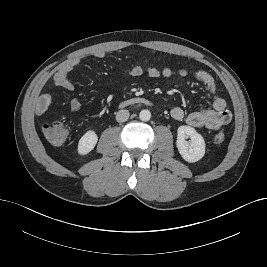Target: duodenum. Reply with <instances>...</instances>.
Returning <instances> with one entry per match:
<instances>
[{"label":"duodenum","mask_w":267,"mask_h":267,"mask_svg":"<svg viewBox=\"0 0 267 267\" xmlns=\"http://www.w3.org/2000/svg\"><path fill=\"white\" fill-rule=\"evenodd\" d=\"M150 101L146 98H142V97H136V98H132L130 100L125 101L123 104L124 105H138V104H149Z\"/></svg>","instance_id":"duodenum-1"}]
</instances>
